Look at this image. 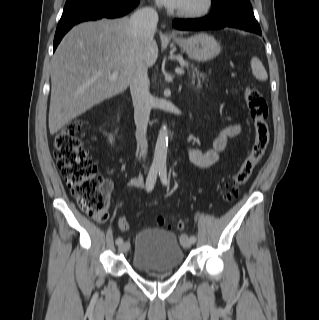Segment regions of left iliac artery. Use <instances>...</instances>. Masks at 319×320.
<instances>
[{"label":"left iliac artery","mask_w":319,"mask_h":320,"mask_svg":"<svg viewBox=\"0 0 319 320\" xmlns=\"http://www.w3.org/2000/svg\"><path fill=\"white\" fill-rule=\"evenodd\" d=\"M159 176H160L162 183L166 185L167 184V169L165 166L159 167ZM189 241L194 243L196 241V237L194 235L190 236Z\"/></svg>","instance_id":"1"}]
</instances>
